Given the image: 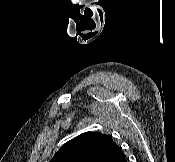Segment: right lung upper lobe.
<instances>
[{
	"instance_id": "right-lung-upper-lobe-1",
	"label": "right lung upper lobe",
	"mask_w": 175,
	"mask_h": 162,
	"mask_svg": "<svg viewBox=\"0 0 175 162\" xmlns=\"http://www.w3.org/2000/svg\"><path fill=\"white\" fill-rule=\"evenodd\" d=\"M124 157L108 135L86 132L65 143L50 162H120Z\"/></svg>"
}]
</instances>
